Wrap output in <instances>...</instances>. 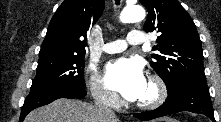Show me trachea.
<instances>
[{
	"mask_svg": "<svg viewBox=\"0 0 221 122\" xmlns=\"http://www.w3.org/2000/svg\"><path fill=\"white\" fill-rule=\"evenodd\" d=\"M116 4H117V5L119 4V0H116Z\"/></svg>",
	"mask_w": 221,
	"mask_h": 122,
	"instance_id": "trachea-1",
	"label": "trachea"
}]
</instances>
